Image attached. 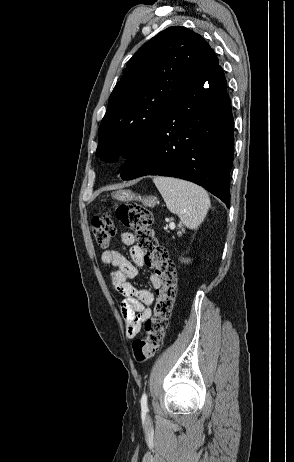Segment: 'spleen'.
Here are the masks:
<instances>
[{
	"instance_id": "1",
	"label": "spleen",
	"mask_w": 294,
	"mask_h": 462,
	"mask_svg": "<svg viewBox=\"0 0 294 462\" xmlns=\"http://www.w3.org/2000/svg\"><path fill=\"white\" fill-rule=\"evenodd\" d=\"M153 182L167 208L177 214L187 228L197 229L210 208L207 192L198 185L170 177L157 176Z\"/></svg>"
}]
</instances>
